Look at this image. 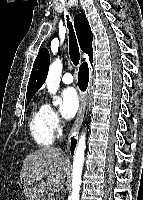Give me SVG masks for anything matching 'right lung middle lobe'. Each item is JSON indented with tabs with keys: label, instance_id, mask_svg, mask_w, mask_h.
<instances>
[{
	"label": "right lung middle lobe",
	"instance_id": "obj_1",
	"mask_svg": "<svg viewBox=\"0 0 143 200\" xmlns=\"http://www.w3.org/2000/svg\"><path fill=\"white\" fill-rule=\"evenodd\" d=\"M30 100H27V103L29 104Z\"/></svg>",
	"mask_w": 143,
	"mask_h": 200
}]
</instances>
